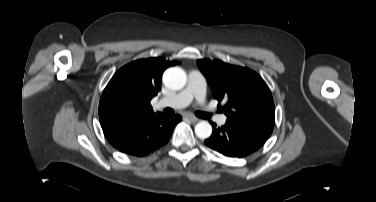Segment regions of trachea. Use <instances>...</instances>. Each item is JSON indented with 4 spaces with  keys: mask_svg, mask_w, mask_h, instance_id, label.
Instances as JSON below:
<instances>
[{
    "mask_svg": "<svg viewBox=\"0 0 376 202\" xmlns=\"http://www.w3.org/2000/svg\"><path fill=\"white\" fill-rule=\"evenodd\" d=\"M196 115L201 117V118H205V119H209L211 117V115L207 114V113H203V112H196Z\"/></svg>",
    "mask_w": 376,
    "mask_h": 202,
    "instance_id": "trachea-1",
    "label": "trachea"
}]
</instances>
